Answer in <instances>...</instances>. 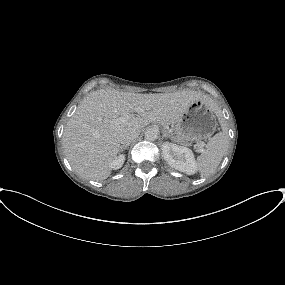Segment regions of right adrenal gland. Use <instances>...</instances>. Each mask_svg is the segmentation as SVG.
<instances>
[{
    "label": "right adrenal gland",
    "instance_id": "2a0ac1e0",
    "mask_svg": "<svg viewBox=\"0 0 285 285\" xmlns=\"http://www.w3.org/2000/svg\"><path fill=\"white\" fill-rule=\"evenodd\" d=\"M128 148H129V145H126V146L123 145L120 147V151L122 152L123 150L128 149Z\"/></svg>",
    "mask_w": 285,
    "mask_h": 285
}]
</instances>
